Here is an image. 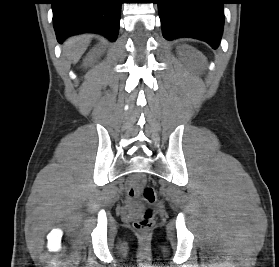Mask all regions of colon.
Wrapping results in <instances>:
<instances>
[{"label": "colon", "instance_id": "colon-1", "mask_svg": "<svg viewBox=\"0 0 279 267\" xmlns=\"http://www.w3.org/2000/svg\"><path fill=\"white\" fill-rule=\"evenodd\" d=\"M143 182V178L139 177L138 178V185H140ZM141 194L143 199L150 204H153L157 200V194L156 190L154 189L153 186L145 184L141 188ZM154 225V211L152 209H147L143 216L134 222L133 226L134 228L141 232H147L149 231Z\"/></svg>", "mask_w": 279, "mask_h": 267}]
</instances>
